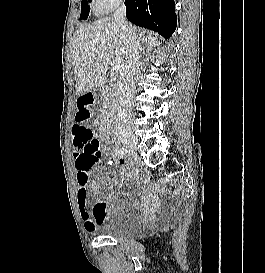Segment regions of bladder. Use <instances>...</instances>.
<instances>
[{
	"mask_svg": "<svg viewBox=\"0 0 265 273\" xmlns=\"http://www.w3.org/2000/svg\"><path fill=\"white\" fill-rule=\"evenodd\" d=\"M141 228V219L136 214H116L102 222L97 233L113 239H124L135 236Z\"/></svg>",
	"mask_w": 265,
	"mask_h": 273,
	"instance_id": "1",
	"label": "bladder"
}]
</instances>
